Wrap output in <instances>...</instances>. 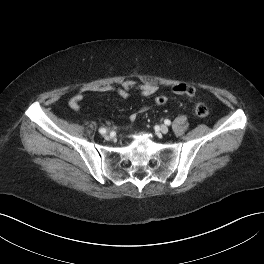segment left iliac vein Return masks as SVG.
Wrapping results in <instances>:
<instances>
[{"label": "left iliac vein", "mask_w": 264, "mask_h": 264, "mask_svg": "<svg viewBox=\"0 0 264 264\" xmlns=\"http://www.w3.org/2000/svg\"><path fill=\"white\" fill-rule=\"evenodd\" d=\"M159 130H160V132L162 134H166L169 131V129H168V127L166 125H161L160 128H159Z\"/></svg>", "instance_id": "left-iliac-vein-1"}]
</instances>
